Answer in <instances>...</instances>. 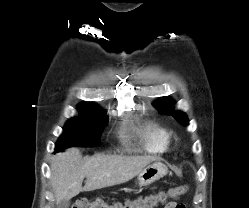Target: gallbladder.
I'll list each match as a JSON object with an SVG mask.
<instances>
[{
	"instance_id": "obj_1",
	"label": "gallbladder",
	"mask_w": 249,
	"mask_h": 208,
	"mask_svg": "<svg viewBox=\"0 0 249 208\" xmlns=\"http://www.w3.org/2000/svg\"><path fill=\"white\" fill-rule=\"evenodd\" d=\"M70 202L69 200H62L57 203V208H69Z\"/></svg>"
}]
</instances>
